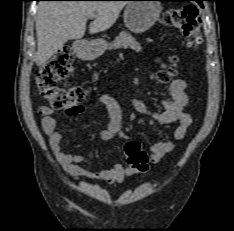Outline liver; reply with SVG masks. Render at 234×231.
I'll use <instances>...</instances> for the list:
<instances>
[{"instance_id":"obj_1","label":"liver","mask_w":234,"mask_h":231,"mask_svg":"<svg viewBox=\"0 0 234 231\" xmlns=\"http://www.w3.org/2000/svg\"><path fill=\"white\" fill-rule=\"evenodd\" d=\"M125 1H42L39 3L35 61L42 66L71 39H81L88 17L96 13L89 25V33L109 29L118 19Z\"/></svg>"}]
</instances>
